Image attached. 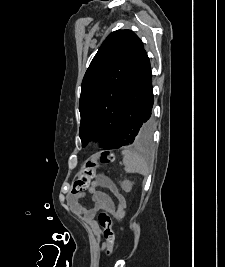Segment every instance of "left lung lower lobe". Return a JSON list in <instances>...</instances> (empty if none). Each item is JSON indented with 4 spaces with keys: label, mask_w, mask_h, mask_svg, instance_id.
Masks as SVG:
<instances>
[{
    "label": "left lung lower lobe",
    "mask_w": 225,
    "mask_h": 267,
    "mask_svg": "<svg viewBox=\"0 0 225 267\" xmlns=\"http://www.w3.org/2000/svg\"><path fill=\"white\" fill-rule=\"evenodd\" d=\"M153 87L150 61L144 50L127 89L117 129L104 150L118 149L134 143L144 125V138L153 132Z\"/></svg>",
    "instance_id": "0a47b994"
}]
</instances>
